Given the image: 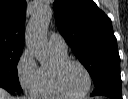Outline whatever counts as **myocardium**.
Listing matches in <instances>:
<instances>
[{
    "mask_svg": "<svg viewBox=\"0 0 128 99\" xmlns=\"http://www.w3.org/2000/svg\"><path fill=\"white\" fill-rule=\"evenodd\" d=\"M70 64H76L78 65L85 73L86 77H87V87L86 89L80 93V94H72L69 93L63 86L62 84V74L63 71L66 69L67 66H69ZM53 80H54V84L56 89L58 90L59 93H61L64 97L67 98H72V99H79V98H83L86 95L89 94L91 87H92V76L91 73L89 72L88 68L79 60L73 59V58H66L65 60L57 63L54 66L53 69Z\"/></svg>",
    "mask_w": 128,
    "mask_h": 99,
    "instance_id": "myocardium-1",
    "label": "myocardium"
}]
</instances>
